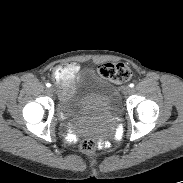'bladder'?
Listing matches in <instances>:
<instances>
[{
	"mask_svg": "<svg viewBox=\"0 0 183 183\" xmlns=\"http://www.w3.org/2000/svg\"><path fill=\"white\" fill-rule=\"evenodd\" d=\"M64 107L77 119L111 117L117 114L119 94L117 89L105 80L87 88L74 91L63 97Z\"/></svg>",
	"mask_w": 183,
	"mask_h": 183,
	"instance_id": "obj_1",
	"label": "bladder"
}]
</instances>
